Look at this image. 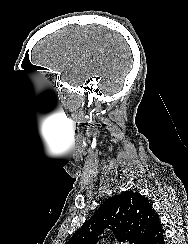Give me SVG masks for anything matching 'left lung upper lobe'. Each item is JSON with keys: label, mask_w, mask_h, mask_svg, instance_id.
Wrapping results in <instances>:
<instances>
[{"label": "left lung upper lobe", "mask_w": 188, "mask_h": 244, "mask_svg": "<svg viewBox=\"0 0 188 244\" xmlns=\"http://www.w3.org/2000/svg\"><path fill=\"white\" fill-rule=\"evenodd\" d=\"M155 213L148 198L138 192H122L106 200L67 244H95L105 228H110L119 242L143 244Z\"/></svg>", "instance_id": "1"}]
</instances>
